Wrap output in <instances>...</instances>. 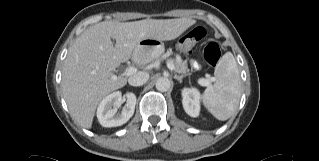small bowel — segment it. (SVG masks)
I'll use <instances>...</instances> for the list:
<instances>
[{
  "mask_svg": "<svg viewBox=\"0 0 319 161\" xmlns=\"http://www.w3.org/2000/svg\"><path fill=\"white\" fill-rule=\"evenodd\" d=\"M191 65H192L193 67H198V63H197V61H195V60L191 61Z\"/></svg>",
  "mask_w": 319,
  "mask_h": 161,
  "instance_id": "small-bowel-1",
  "label": "small bowel"
}]
</instances>
